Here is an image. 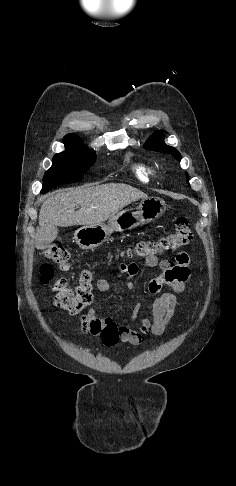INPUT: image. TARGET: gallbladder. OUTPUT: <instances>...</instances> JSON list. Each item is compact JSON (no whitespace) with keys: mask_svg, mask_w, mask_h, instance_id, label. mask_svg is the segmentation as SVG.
Listing matches in <instances>:
<instances>
[{"mask_svg":"<svg viewBox=\"0 0 236 486\" xmlns=\"http://www.w3.org/2000/svg\"><path fill=\"white\" fill-rule=\"evenodd\" d=\"M58 229L56 225H48L44 227L37 235L40 241H37L36 247L38 249H45L57 237Z\"/></svg>","mask_w":236,"mask_h":486,"instance_id":"gallbladder-1","label":"gallbladder"}]
</instances>
